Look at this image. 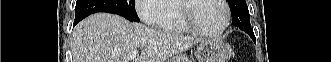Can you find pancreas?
Listing matches in <instances>:
<instances>
[{
  "label": "pancreas",
  "mask_w": 331,
  "mask_h": 62,
  "mask_svg": "<svg viewBox=\"0 0 331 62\" xmlns=\"http://www.w3.org/2000/svg\"><path fill=\"white\" fill-rule=\"evenodd\" d=\"M168 62H191L187 56H176L168 60Z\"/></svg>",
  "instance_id": "1"
}]
</instances>
